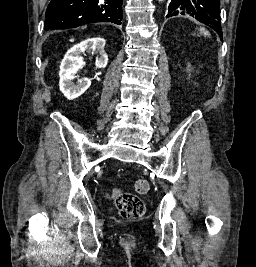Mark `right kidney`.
<instances>
[{"label": "right kidney", "mask_w": 256, "mask_h": 267, "mask_svg": "<svg viewBox=\"0 0 256 267\" xmlns=\"http://www.w3.org/2000/svg\"><path fill=\"white\" fill-rule=\"evenodd\" d=\"M105 40L104 38H88L76 46H72L65 54L61 66H60V90L68 100H75L82 96L89 86H91V80L89 78H81L78 80L77 86L72 82L74 78H77L79 68L85 66V62L82 58V54L85 52H95L98 50L100 52V58H97L95 62L96 68H105L108 62V56L104 50Z\"/></svg>", "instance_id": "right-kidney-1"}]
</instances>
